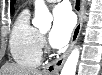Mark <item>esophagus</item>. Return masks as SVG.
<instances>
[{
	"label": "esophagus",
	"instance_id": "1",
	"mask_svg": "<svg viewBox=\"0 0 102 75\" xmlns=\"http://www.w3.org/2000/svg\"><path fill=\"white\" fill-rule=\"evenodd\" d=\"M73 8L78 16V23L73 31L72 38L68 49L62 54L58 59L53 61L44 67L43 71L46 74L57 75L60 69L62 68L66 58L68 57L70 51L76 44L83 23V11H84V0H74Z\"/></svg>",
	"mask_w": 102,
	"mask_h": 75
}]
</instances>
